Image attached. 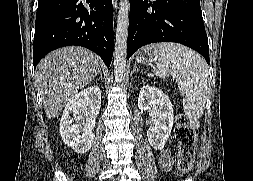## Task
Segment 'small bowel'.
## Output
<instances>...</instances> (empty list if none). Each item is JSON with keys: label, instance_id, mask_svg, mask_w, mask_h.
<instances>
[{"label": "small bowel", "instance_id": "small-bowel-1", "mask_svg": "<svg viewBox=\"0 0 253 181\" xmlns=\"http://www.w3.org/2000/svg\"><path fill=\"white\" fill-rule=\"evenodd\" d=\"M158 161H159L160 167L163 170H165V171L170 170L173 165V158H172L170 151L169 150H162L160 152Z\"/></svg>", "mask_w": 253, "mask_h": 181}]
</instances>
